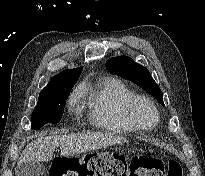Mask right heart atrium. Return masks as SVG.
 Returning a JSON list of instances; mask_svg holds the SVG:
<instances>
[{
	"mask_svg": "<svg viewBox=\"0 0 205 176\" xmlns=\"http://www.w3.org/2000/svg\"><path fill=\"white\" fill-rule=\"evenodd\" d=\"M79 99H80V92H79V90L73 91L71 96H70V98H69V101H68L70 110L73 111V110H75L77 108Z\"/></svg>",
	"mask_w": 205,
	"mask_h": 176,
	"instance_id": "obj_1",
	"label": "right heart atrium"
}]
</instances>
